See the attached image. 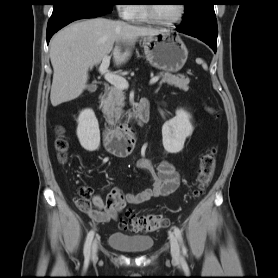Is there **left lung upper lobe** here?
Masks as SVG:
<instances>
[{
  "mask_svg": "<svg viewBox=\"0 0 278 278\" xmlns=\"http://www.w3.org/2000/svg\"><path fill=\"white\" fill-rule=\"evenodd\" d=\"M214 0H184L186 11L184 24L203 22L210 31L217 35V20L214 12Z\"/></svg>",
  "mask_w": 278,
  "mask_h": 278,
  "instance_id": "left-lung-upper-lobe-1",
  "label": "left lung upper lobe"
}]
</instances>
